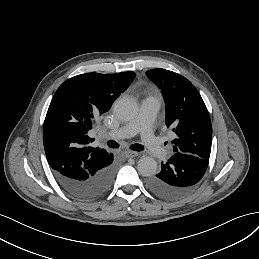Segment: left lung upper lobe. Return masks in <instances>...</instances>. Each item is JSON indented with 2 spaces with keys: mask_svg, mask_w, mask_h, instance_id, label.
<instances>
[{
  "mask_svg": "<svg viewBox=\"0 0 259 259\" xmlns=\"http://www.w3.org/2000/svg\"><path fill=\"white\" fill-rule=\"evenodd\" d=\"M147 76L161 89L166 103V125L177 138L174 152L210 158L212 126L208 110L195 86L185 77L164 69H152Z\"/></svg>",
  "mask_w": 259,
  "mask_h": 259,
  "instance_id": "left-lung-upper-lobe-1",
  "label": "left lung upper lobe"
}]
</instances>
